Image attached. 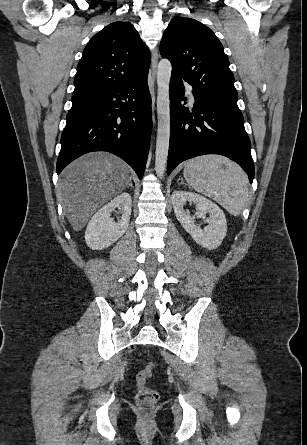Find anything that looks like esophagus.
Masks as SVG:
<instances>
[{
	"mask_svg": "<svg viewBox=\"0 0 307 445\" xmlns=\"http://www.w3.org/2000/svg\"><path fill=\"white\" fill-rule=\"evenodd\" d=\"M158 58H159L158 52H157V49H155L153 56H152V61H151V73H152V78L154 80L156 79Z\"/></svg>",
	"mask_w": 307,
	"mask_h": 445,
	"instance_id": "1",
	"label": "esophagus"
}]
</instances>
